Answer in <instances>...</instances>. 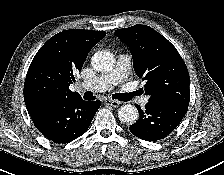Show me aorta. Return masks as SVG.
I'll return each mask as SVG.
<instances>
[{"label": "aorta", "instance_id": "762f6f07", "mask_svg": "<svg viewBox=\"0 0 224 175\" xmlns=\"http://www.w3.org/2000/svg\"><path fill=\"white\" fill-rule=\"evenodd\" d=\"M115 59L108 51H98L91 59L92 67L99 72H109L113 69ZM118 118L123 123H134L139 118V113L134 105L126 104L119 108Z\"/></svg>", "mask_w": 224, "mask_h": 175}]
</instances>
